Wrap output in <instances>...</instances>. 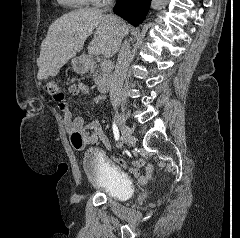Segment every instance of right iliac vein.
I'll use <instances>...</instances> for the list:
<instances>
[{
    "label": "right iliac vein",
    "mask_w": 240,
    "mask_h": 238,
    "mask_svg": "<svg viewBox=\"0 0 240 238\" xmlns=\"http://www.w3.org/2000/svg\"><path fill=\"white\" fill-rule=\"evenodd\" d=\"M119 128H120L123 140L130 145L134 141L131 128L122 122L119 123Z\"/></svg>",
    "instance_id": "1"
}]
</instances>
